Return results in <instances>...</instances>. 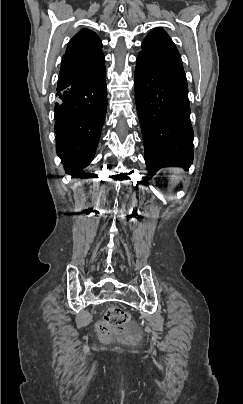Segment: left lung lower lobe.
<instances>
[{
  "instance_id": "1",
  "label": "left lung lower lobe",
  "mask_w": 243,
  "mask_h": 404,
  "mask_svg": "<svg viewBox=\"0 0 243 404\" xmlns=\"http://www.w3.org/2000/svg\"><path fill=\"white\" fill-rule=\"evenodd\" d=\"M134 87L150 175L162 167L181 166L187 170L194 153L184 70L139 54Z\"/></svg>"
}]
</instances>
